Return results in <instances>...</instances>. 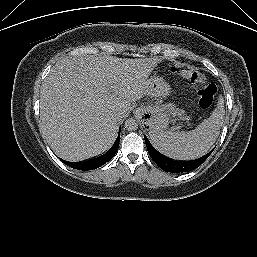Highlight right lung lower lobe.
Listing matches in <instances>:
<instances>
[{
	"label": "right lung lower lobe",
	"instance_id": "1",
	"mask_svg": "<svg viewBox=\"0 0 257 257\" xmlns=\"http://www.w3.org/2000/svg\"><path fill=\"white\" fill-rule=\"evenodd\" d=\"M120 131V128H119ZM119 141H120V135H118L115 143L113 144V146L103 155L91 159V160H87L84 162H79V163H71V162H67V161H63V163H65L66 165L74 168V169H78V170H92V169H96L102 165H104L106 162L110 161L115 153L118 150L119 147Z\"/></svg>",
	"mask_w": 257,
	"mask_h": 257
}]
</instances>
